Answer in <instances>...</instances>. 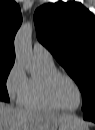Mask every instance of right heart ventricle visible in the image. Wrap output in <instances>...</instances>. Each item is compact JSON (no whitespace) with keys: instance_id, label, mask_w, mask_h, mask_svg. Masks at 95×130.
<instances>
[{"instance_id":"1","label":"right heart ventricle","mask_w":95,"mask_h":130,"mask_svg":"<svg viewBox=\"0 0 95 130\" xmlns=\"http://www.w3.org/2000/svg\"><path fill=\"white\" fill-rule=\"evenodd\" d=\"M39 63L43 69V75L41 77L29 78L28 86L21 104L26 108L57 111L59 109L51 104L45 95L43 78L44 76L57 72L58 70L54 63Z\"/></svg>"}]
</instances>
